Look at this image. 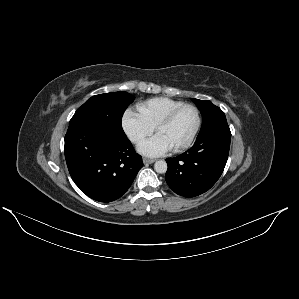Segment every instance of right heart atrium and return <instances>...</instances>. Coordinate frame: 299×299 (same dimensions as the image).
Masks as SVG:
<instances>
[{"mask_svg": "<svg viewBox=\"0 0 299 299\" xmlns=\"http://www.w3.org/2000/svg\"><path fill=\"white\" fill-rule=\"evenodd\" d=\"M122 127L128 138L135 144L141 143L151 135L154 127L150 125L140 113L129 109L122 117Z\"/></svg>", "mask_w": 299, "mask_h": 299, "instance_id": "right-heart-atrium-1", "label": "right heart atrium"}]
</instances>
